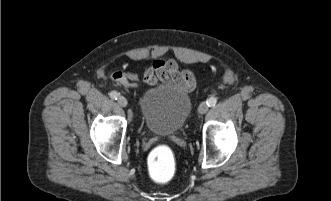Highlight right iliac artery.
<instances>
[{"mask_svg": "<svg viewBox=\"0 0 331 201\" xmlns=\"http://www.w3.org/2000/svg\"><path fill=\"white\" fill-rule=\"evenodd\" d=\"M109 95H110V97H111L112 99H115V100H117L118 97H119V93H118L117 91H111V92L109 93Z\"/></svg>", "mask_w": 331, "mask_h": 201, "instance_id": "1", "label": "right iliac artery"}]
</instances>
